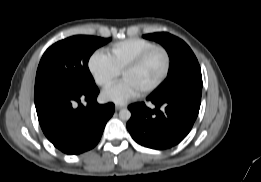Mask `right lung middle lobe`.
Returning <instances> with one entry per match:
<instances>
[{
	"label": "right lung middle lobe",
	"mask_w": 261,
	"mask_h": 182,
	"mask_svg": "<svg viewBox=\"0 0 261 182\" xmlns=\"http://www.w3.org/2000/svg\"><path fill=\"white\" fill-rule=\"evenodd\" d=\"M111 38L77 35L50 46L39 63L35 91L47 86L62 85L84 95L97 89L88 69L92 53Z\"/></svg>",
	"instance_id": "1"
}]
</instances>
